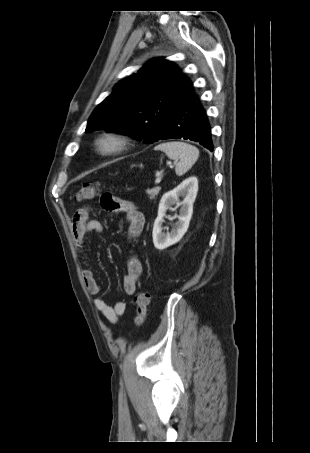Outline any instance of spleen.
Here are the masks:
<instances>
[{
	"label": "spleen",
	"instance_id": "1",
	"mask_svg": "<svg viewBox=\"0 0 310 453\" xmlns=\"http://www.w3.org/2000/svg\"><path fill=\"white\" fill-rule=\"evenodd\" d=\"M155 150L163 151L172 160L179 159L175 167L178 176H182L191 169L199 157L197 147L179 141L161 143L155 147Z\"/></svg>",
	"mask_w": 310,
	"mask_h": 453
}]
</instances>
